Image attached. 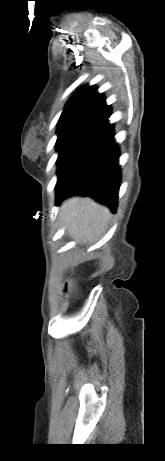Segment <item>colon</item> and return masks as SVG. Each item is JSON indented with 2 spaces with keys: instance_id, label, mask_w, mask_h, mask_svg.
<instances>
[{
  "instance_id": "colon-1",
  "label": "colon",
  "mask_w": 165,
  "mask_h": 461,
  "mask_svg": "<svg viewBox=\"0 0 165 461\" xmlns=\"http://www.w3.org/2000/svg\"><path fill=\"white\" fill-rule=\"evenodd\" d=\"M67 291H68V285H66L65 287V293H67Z\"/></svg>"
}]
</instances>
